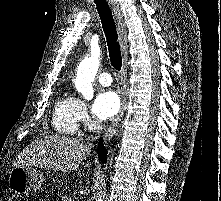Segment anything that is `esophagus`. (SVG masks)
<instances>
[{
  "label": "esophagus",
  "mask_w": 221,
  "mask_h": 201,
  "mask_svg": "<svg viewBox=\"0 0 221 201\" xmlns=\"http://www.w3.org/2000/svg\"><path fill=\"white\" fill-rule=\"evenodd\" d=\"M114 14L115 18L117 20V25H118V31H119V40H120V45L124 54V59H123V65L121 69V76H120V89H119V94L121 98V108L117 114V116L114 118L112 121L111 125L105 132V139L110 140L112 139L117 131L118 127L121 121V118L123 117L124 111H125V106H126V97H125V84L127 80V45H126V27L123 23L122 19V14L119 9V5L114 2V0H108Z\"/></svg>",
  "instance_id": "obj_1"
}]
</instances>
